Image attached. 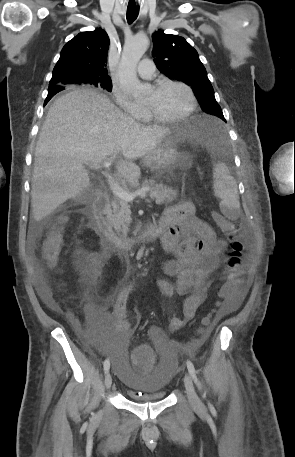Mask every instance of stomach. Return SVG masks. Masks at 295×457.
<instances>
[{
    "mask_svg": "<svg viewBox=\"0 0 295 457\" xmlns=\"http://www.w3.org/2000/svg\"><path fill=\"white\" fill-rule=\"evenodd\" d=\"M209 127L199 117H192L178 130L165 135L162 142L144 158V165L152 170L171 172L183 166L179 145L186 142L202 143L208 139Z\"/></svg>",
    "mask_w": 295,
    "mask_h": 457,
    "instance_id": "0dacf381",
    "label": "stomach"
}]
</instances>
